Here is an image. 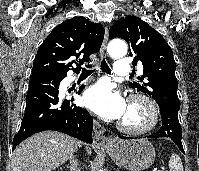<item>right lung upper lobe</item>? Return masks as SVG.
Masks as SVG:
<instances>
[{"mask_svg": "<svg viewBox=\"0 0 199 171\" xmlns=\"http://www.w3.org/2000/svg\"><path fill=\"white\" fill-rule=\"evenodd\" d=\"M104 28L83 17H74L57 25L40 46L32 69V76L54 74L66 76L67 71H79L89 56L100 50ZM82 59L73 60V57ZM73 63L76 68H73Z\"/></svg>", "mask_w": 199, "mask_h": 171, "instance_id": "obj_1", "label": "right lung upper lobe"}]
</instances>
